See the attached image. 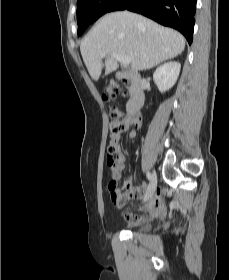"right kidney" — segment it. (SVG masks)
Listing matches in <instances>:
<instances>
[{"mask_svg": "<svg viewBox=\"0 0 229 280\" xmlns=\"http://www.w3.org/2000/svg\"><path fill=\"white\" fill-rule=\"evenodd\" d=\"M181 69L178 62H167L156 69L153 80L160 92L169 90L177 81Z\"/></svg>", "mask_w": 229, "mask_h": 280, "instance_id": "1", "label": "right kidney"}]
</instances>
